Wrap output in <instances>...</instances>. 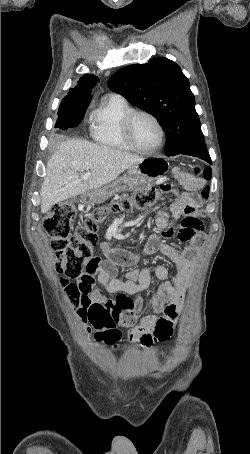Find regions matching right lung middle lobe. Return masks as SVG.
Masks as SVG:
<instances>
[{
	"mask_svg": "<svg viewBox=\"0 0 250 454\" xmlns=\"http://www.w3.org/2000/svg\"><path fill=\"white\" fill-rule=\"evenodd\" d=\"M89 104L90 101L72 104L61 103L55 128L66 130L68 128L76 127L84 118Z\"/></svg>",
	"mask_w": 250,
	"mask_h": 454,
	"instance_id": "right-lung-middle-lobe-1",
	"label": "right lung middle lobe"
}]
</instances>
